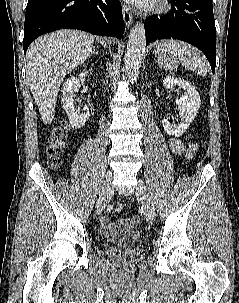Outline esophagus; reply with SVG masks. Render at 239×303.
Segmentation results:
<instances>
[{"mask_svg": "<svg viewBox=\"0 0 239 303\" xmlns=\"http://www.w3.org/2000/svg\"><path fill=\"white\" fill-rule=\"evenodd\" d=\"M122 14H123L125 25L127 27H130L133 21V17L129 11V8L125 4L122 5Z\"/></svg>", "mask_w": 239, "mask_h": 303, "instance_id": "obj_1", "label": "esophagus"}]
</instances>
